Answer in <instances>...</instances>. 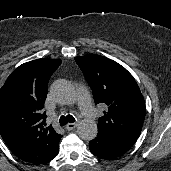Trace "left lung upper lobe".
Wrapping results in <instances>:
<instances>
[{"mask_svg": "<svg viewBox=\"0 0 171 171\" xmlns=\"http://www.w3.org/2000/svg\"><path fill=\"white\" fill-rule=\"evenodd\" d=\"M96 104L106 105L98 134L131 148L145 118V102L133 76L117 62L99 55L75 57Z\"/></svg>", "mask_w": 171, "mask_h": 171, "instance_id": "1", "label": "left lung upper lobe"}]
</instances>
